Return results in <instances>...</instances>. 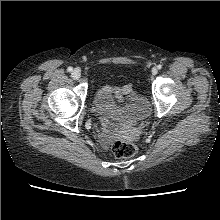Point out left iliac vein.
I'll use <instances>...</instances> for the list:
<instances>
[{"label": "left iliac vein", "instance_id": "4c4485c4", "mask_svg": "<svg viewBox=\"0 0 220 220\" xmlns=\"http://www.w3.org/2000/svg\"><path fill=\"white\" fill-rule=\"evenodd\" d=\"M156 74H157V68L154 67V68L152 69V75H156Z\"/></svg>", "mask_w": 220, "mask_h": 220}]
</instances>
